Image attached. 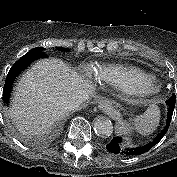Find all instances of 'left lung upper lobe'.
<instances>
[{
    "instance_id": "5c2ea615",
    "label": "left lung upper lobe",
    "mask_w": 177,
    "mask_h": 177,
    "mask_svg": "<svg viewBox=\"0 0 177 177\" xmlns=\"http://www.w3.org/2000/svg\"><path fill=\"white\" fill-rule=\"evenodd\" d=\"M172 98H174V99L176 98L175 94H172V96L169 99H172Z\"/></svg>"
}]
</instances>
